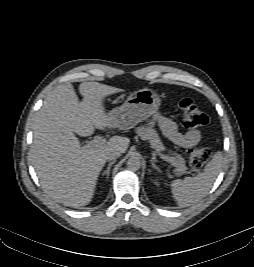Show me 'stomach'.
<instances>
[{"instance_id":"1","label":"stomach","mask_w":254,"mask_h":267,"mask_svg":"<svg viewBox=\"0 0 254 267\" xmlns=\"http://www.w3.org/2000/svg\"><path fill=\"white\" fill-rule=\"evenodd\" d=\"M161 106L158 93L149 88L132 92L126 101L107 113L112 117L120 129H130L142 120L154 115Z\"/></svg>"}]
</instances>
